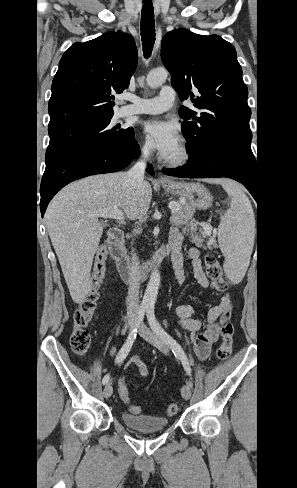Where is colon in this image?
Masks as SVG:
<instances>
[{"label": "colon", "mask_w": 297, "mask_h": 488, "mask_svg": "<svg viewBox=\"0 0 297 488\" xmlns=\"http://www.w3.org/2000/svg\"><path fill=\"white\" fill-rule=\"evenodd\" d=\"M108 256V249L105 245H101L95 255L93 277L90 288L85 298L80 303L79 307L74 312V329L70 338V346L72 351L80 356L84 357L90 346V333L87 329L94 312L97 307L98 300L100 298V291L105 278L106 260ZM205 269L209 279L212 282L213 287L218 291H224L227 288V283L223 277L222 268L217 260L211 254L205 255ZM230 314L225 315V321L220 328L221 344L217 350V357L220 360H226L229 358L232 352L233 342V326L229 321ZM118 382L117 395L120 397L121 402L128 404L129 411L133 414H138L141 411V407L129 403V390L126 388L127 384L125 376L121 377ZM178 411V405L171 403L166 410L168 416H173Z\"/></svg>", "instance_id": "colon-1"}]
</instances>
